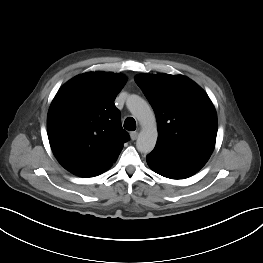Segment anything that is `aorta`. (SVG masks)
<instances>
[{
    "label": "aorta",
    "mask_w": 263,
    "mask_h": 263,
    "mask_svg": "<svg viewBox=\"0 0 263 263\" xmlns=\"http://www.w3.org/2000/svg\"><path fill=\"white\" fill-rule=\"evenodd\" d=\"M126 105L142 127L136 141V148L139 152L148 154L153 151L158 137L155 114L148 103L137 95L129 96Z\"/></svg>",
    "instance_id": "1"
}]
</instances>
